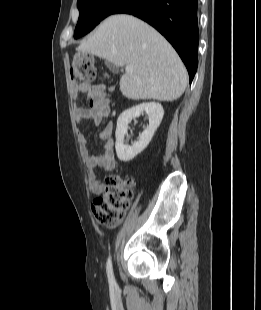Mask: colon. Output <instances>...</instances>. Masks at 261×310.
<instances>
[{"label": "colon", "instance_id": "5ec220e1", "mask_svg": "<svg viewBox=\"0 0 261 310\" xmlns=\"http://www.w3.org/2000/svg\"><path fill=\"white\" fill-rule=\"evenodd\" d=\"M98 75L94 58L88 53H76L70 65L71 80L75 85H86ZM133 181L117 175L105 178L104 192L94 199L92 212L97 222L105 227H115L123 219L132 198Z\"/></svg>", "mask_w": 261, "mask_h": 310}]
</instances>
